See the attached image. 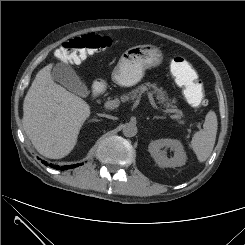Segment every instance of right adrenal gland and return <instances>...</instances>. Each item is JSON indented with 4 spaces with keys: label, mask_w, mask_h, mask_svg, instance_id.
Returning <instances> with one entry per match:
<instances>
[{
    "label": "right adrenal gland",
    "mask_w": 245,
    "mask_h": 245,
    "mask_svg": "<svg viewBox=\"0 0 245 245\" xmlns=\"http://www.w3.org/2000/svg\"><path fill=\"white\" fill-rule=\"evenodd\" d=\"M93 121H95V122H99L100 120H98V119H93Z\"/></svg>",
    "instance_id": "2a0ac1e0"
}]
</instances>
